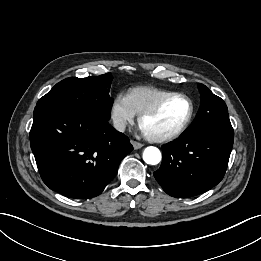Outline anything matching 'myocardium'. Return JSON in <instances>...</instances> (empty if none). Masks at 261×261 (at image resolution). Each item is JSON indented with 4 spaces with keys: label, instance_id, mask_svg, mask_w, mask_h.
I'll return each mask as SVG.
<instances>
[{
    "label": "myocardium",
    "instance_id": "myocardium-1",
    "mask_svg": "<svg viewBox=\"0 0 261 261\" xmlns=\"http://www.w3.org/2000/svg\"><path fill=\"white\" fill-rule=\"evenodd\" d=\"M172 98H181V99H184L187 101V103L189 105V112H188V115L185 118V120L182 122V124L179 127H177L175 130H173L169 133L159 134V135L147 133L143 129V121L147 117L155 115L157 112H159V110L163 107V105ZM193 116H194V104H193V101L187 95H184L181 93H169V94L165 95L164 97H162L161 99H159L152 106H150L149 108L142 111L139 114L138 123H139V126L141 127V129L144 131L145 136L150 141L156 142V143H162V142H168V141L174 140V139L178 138L180 135H182L185 132V130L188 128V126L190 125V123L193 119Z\"/></svg>",
    "mask_w": 261,
    "mask_h": 261
}]
</instances>
